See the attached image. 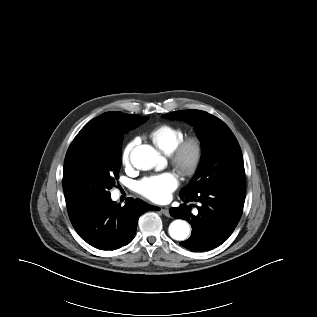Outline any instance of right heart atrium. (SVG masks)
Returning a JSON list of instances; mask_svg holds the SVG:
<instances>
[{"label": "right heart atrium", "instance_id": "d8ad5b80", "mask_svg": "<svg viewBox=\"0 0 317 317\" xmlns=\"http://www.w3.org/2000/svg\"><path fill=\"white\" fill-rule=\"evenodd\" d=\"M135 145L136 139H132L123 148L121 153V162L124 167L130 166L131 153Z\"/></svg>", "mask_w": 317, "mask_h": 317}]
</instances>
